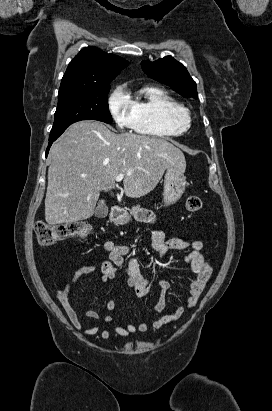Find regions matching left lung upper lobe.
<instances>
[{
	"label": "left lung upper lobe",
	"instance_id": "1",
	"mask_svg": "<svg viewBox=\"0 0 272 411\" xmlns=\"http://www.w3.org/2000/svg\"><path fill=\"white\" fill-rule=\"evenodd\" d=\"M141 67L150 78L172 87L181 96L198 98L195 81L184 65L173 57L166 56L154 62L145 60L141 62Z\"/></svg>",
	"mask_w": 272,
	"mask_h": 411
}]
</instances>
